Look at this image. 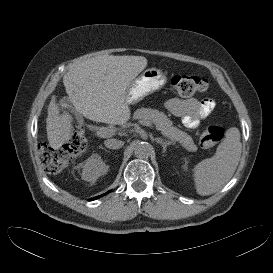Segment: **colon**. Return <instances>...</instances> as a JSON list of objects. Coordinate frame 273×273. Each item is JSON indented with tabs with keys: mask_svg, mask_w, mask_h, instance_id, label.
Returning <instances> with one entry per match:
<instances>
[{
	"mask_svg": "<svg viewBox=\"0 0 273 273\" xmlns=\"http://www.w3.org/2000/svg\"><path fill=\"white\" fill-rule=\"evenodd\" d=\"M173 90L181 97H191L203 94L208 87L205 79L186 75H175L171 80ZM224 137V129L218 125L208 126L201 134L200 145L210 149ZM86 148V138L81 128L76 127L71 138L60 148L54 149L49 145H42L40 154L45 169L50 173L61 172L75 156Z\"/></svg>",
	"mask_w": 273,
	"mask_h": 273,
	"instance_id": "1",
	"label": "colon"
}]
</instances>
